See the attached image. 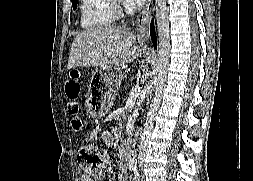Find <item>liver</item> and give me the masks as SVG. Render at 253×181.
Returning <instances> with one entry per match:
<instances>
[{
	"mask_svg": "<svg viewBox=\"0 0 253 181\" xmlns=\"http://www.w3.org/2000/svg\"><path fill=\"white\" fill-rule=\"evenodd\" d=\"M136 35L126 26L106 25L89 28L74 38L67 69L75 67H123L141 55L133 46Z\"/></svg>",
	"mask_w": 253,
	"mask_h": 181,
	"instance_id": "liver-1",
	"label": "liver"
}]
</instances>
